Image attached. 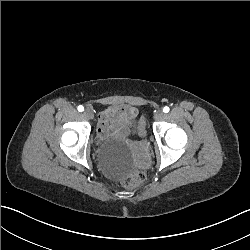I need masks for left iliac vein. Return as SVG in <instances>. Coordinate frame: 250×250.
<instances>
[{
    "label": "left iliac vein",
    "instance_id": "left-iliac-vein-1",
    "mask_svg": "<svg viewBox=\"0 0 250 250\" xmlns=\"http://www.w3.org/2000/svg\"><path fill=\"white\" fill-rule=\"evenodd\" d=\"M164 117H165V114L163 113L162 110H158L157 112L154 113L155 120H162Z\"/></svg>",
    "mask_w": 250,
    "mask_h": 250
}]
</instances>
